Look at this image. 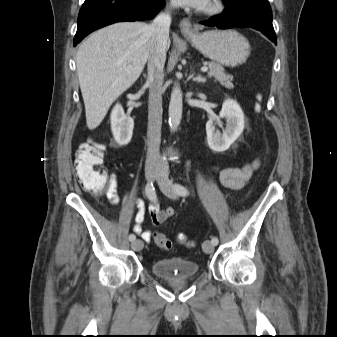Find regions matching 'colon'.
<instances>
[{
    "label": "colon",
    "mask_w": 337,
    "mask_h": 337,
    "mask_svg": "<svg viewBox=\"0 0 337 337\" xmlns=\"http://www.w3.org/2000/svg\"><path fill=\"white\" fill-rule=\"evenodd\" d=\"M103 160L104 146L97 142H84L76 152L75 170L78 179L86 190L95 194H101L109 185L110 177L101 168ZM154 240L160 249H172V242L163 233H154ZM177 240L182 245H192L185 234H179Z\"/></svg>",
    "instance_id": "colon-1"
}]
</instances>
